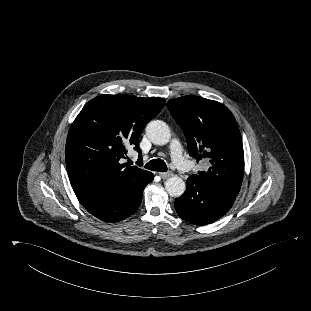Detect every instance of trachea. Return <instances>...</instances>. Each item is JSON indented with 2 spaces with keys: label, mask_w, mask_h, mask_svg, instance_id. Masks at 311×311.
Listing matches in <instances>:
<instances>
[{
  "label": "trachea",
  "mask_w": 311,
  "mask_h": 311,
  "mask_svg": "<svg viewBox=\"0 0 311 311\" xmlns=\"http://www.w3.org/2000/svg\"><path fill=\"white\" fill-rule=\"evenodd\" d=\"M145 168L152 170V171H158V172H166L167 171V165L162 159H153L149 161Z\"/></svg>",
  "instance_id": "1"
}]
</instances>
